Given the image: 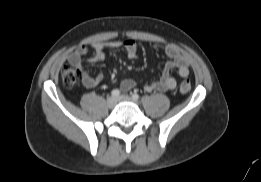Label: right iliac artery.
<instances>
[{
	"label": "right iliac artery",
	"mask_w": 261,
	"mask_h": 182,
	"mask_svg": "<svg viewBox=\"0 0 261 182\" xmlns=\"http://www.w3.org/2000/svg\"><path fill=\"white\" fill-rule=\"evenodd\" d=\"M120 95V90H118V89H113L112 91H111V96L112 97H118Z\"/></svg>",
	"instance_id": "1"
}]
</instances>
